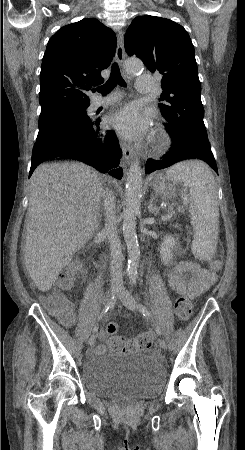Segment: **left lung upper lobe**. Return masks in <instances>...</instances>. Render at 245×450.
Wrapping results in <instances>:
<instances>
[{
  "instance_id": "obj_1",
  "label": "left lung upper lobe",
  "mask_w": 245,
  "mask_h": 450,
  "mask_svg": "<svg viewBox=\"0 0 245 450\" xmlns=\"http://www.w3.org/2000/svg\"><path fill=\"white\" fill-rule=\"evenodd\" d=\"M128 55H136L152 73L162 74L159 104L166 130L177 143H209L203 122L201 84L194 47L179 24L156 16L136 17L124 36Z\"/></svg>"
}]
</instances>
